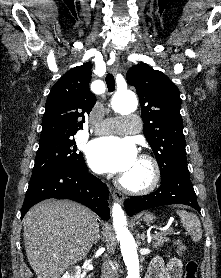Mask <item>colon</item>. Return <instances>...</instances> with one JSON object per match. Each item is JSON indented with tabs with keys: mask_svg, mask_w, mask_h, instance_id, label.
Here are the masks:
<instances>
[{
	"mask_svg": "<svg viewBox=\"0 0 221 278\" xmlns=\"http://www.w3.org/2000/svg\"><path fill=\"white\" fill-rule=\"evenodd\" d=\"M173 245L176 252L179 255H184V253L186 252V246L182 241L176 240L174 241ZM197 273H198L197 262L195 260L188 259L185 264L184 278H197Z\"/></svg>",
	"mask_w": 221,
	"mask_h": 278,
	"instance_id": "colon-1",
	"label": "colon"
}]
</instances>
